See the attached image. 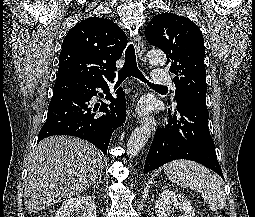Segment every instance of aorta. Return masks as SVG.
<instances>
[{
  "mask_svg": "<svg viewBox=\"0 0 255 217\" xmlns=\"http://www.w3.org/2000/svg\"><path fill=\"white\" fill-rule=\"evenodd\" d=\"M148 61L152 65H164L166 57L161 50L153 49L147 52ZM152 132L151 122H147L137 127L131 134L127 143V154L129 158H134L146 145Z\"/></svg>",
  "mask_w": 255,
  "mask_h": 217,
  "instance_id": "762f6f07",
  "label": "aorta"
}]
</instances>
